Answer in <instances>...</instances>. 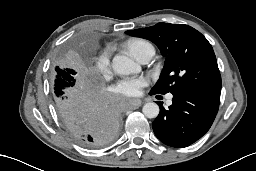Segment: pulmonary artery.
Masks as SVG:
<instances>
[{
	"mask_svg": "<svg viewBox=\"0 0 256 171\" xmlns=\"http://www.w3.org/2000/svg\"><path fill=\"white\" fill-rule=\"evenodd\" d=\"M153 55H154V53H147V54L143 55V56L139 59V61H140L141 63H148V62L152 59ZM168 103H169V104L171 103V96L169 97Z\"/></svg>",
	"mask_w": 256,
	"mask_h": 171,
	"instance_id": "1",
	"label": "pulmonary artery"
}]
</instances>
